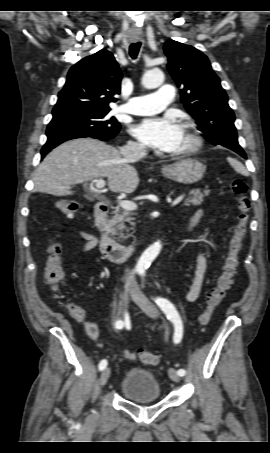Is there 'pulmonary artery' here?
Wrapping results in <instances>:
<instances>
[{
  "mask_svg": "<svg viewBox=\"0 0 270 453\" xmlns=\"http://www.w3.org/2000/svg\"><path fill=\"white\" fill-rule=\"evenodd\" d=\"M174 98V88L162 86L157 92L136 96L120 106V110L134 115H150L161 112Z\"/></svg>",
  "mask_w": 270,
  "mask_h": 453,
  "instance_id": "1",
  "label": "pulmonary artery"
}]
</instances>
